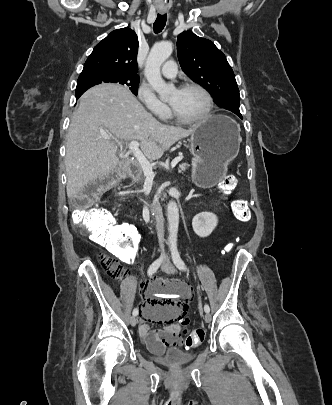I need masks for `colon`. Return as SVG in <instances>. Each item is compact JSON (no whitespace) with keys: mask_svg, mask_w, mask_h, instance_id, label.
Instances as JSON below:
<instances>
[{"mask_svg":"<svg viewBox=\"0 0 332 405\" xmlns=\"http://www.w3.org/2000/svg\"><path fill=\"white\" fill-rule=\"evenodd\" d=\"M114 173H106L96 181L87 185L82 191L72 198L74 211L71 216L73 226L77 230L87 231L92 239L99 243H106L104 256H120L119 262L126 260H137L138 244L140 238L137 231H132L128 223H118L114 216L104 208H88V204L93 201L102 191L106 190L114 180ZM237 185V178L234 175L225 176L220 182V188L224 193H231ZM232 212L241 222H248L250 211L247 201L236 199L232 203ZM114 258L105 260V267L110 277L115 278L120 270V263ZM174 288H186L176 286ZM182 328L193 325V316L183 315L179 318ZM208 325H196L191 332L183 330L185 345L188 351H198L199 344L208 334Z\"/></svg>","mask_w":332,"mask_h":405,"instance_id":"1","label":"colon"}]
</instances>
